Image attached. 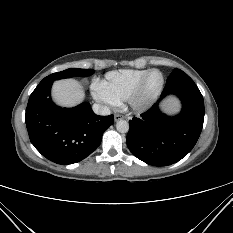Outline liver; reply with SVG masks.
<instances>
[{
	"mask_svg": "<svg viewBox=\"0 0 233 233\" xmlns=\"http://www.w3.org/2000/svg\"><path fill=\"white\" fill-rule=\"evenodd\" d=\"M52 98L60 106L74 107L84 100L85 92L75 79L58 80L52 86Z\"/></svg>",
	"mask_w": 233,
	"mask_h": 233,
	"instance_id": "6515ba94",
	"label": "liver"
}]
</instances>
